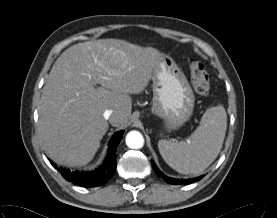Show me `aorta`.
Wrapping results in <instances>:
<instances>
[{
  "label": "aorta",
  "mask_w": 277,
  "mask_h": 218,
  "mask_svg": "<svg viewBox=\"0 0 277 218\" xmlns=\"http://www.w3.org/2000/svg\"><path fill=\"white\" fill-rule=\"evenodd\" d=\"M126 144L129 148L139 149L144 144V138L138 131H130L126 136Z\"/></svg>",
  "instance_id": "762f6f07"
}]
</instances>
